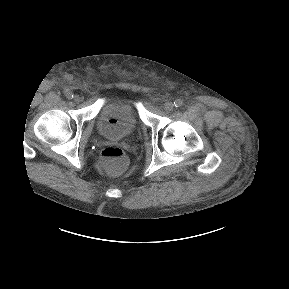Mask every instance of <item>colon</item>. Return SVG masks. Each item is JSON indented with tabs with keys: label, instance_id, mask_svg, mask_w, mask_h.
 <instances>
[{
	"label": "colon",
	"instance_id": "colon-1",
	"mask_svg": "<svg viewBox=\"0 0 289 289\" xmlns=\"http://www.w3.org/2000/svg\"><path fill=\"white\" fill-rule=\"evenodd\" d=\"M99 162L108 173L118 175L125 170L127 157L121 148L108 146L101 151Z\"/></svg>",
	"mask_w": 289,
	"mask_h": 289
}]
</instances>
